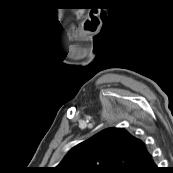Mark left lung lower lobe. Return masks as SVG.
Wrapping results in <instances>:
<instances>
[{
  "mask_svg": "<svg viewBox=\"0 0 173 173\" xmlns=\"http://www.w3.org/2000/svg\"><path fill=\"white\" fill-rule=\"evenodd\" d=\"M160 168H158L151 157L150 160L147 162V164L140 169L138 173H160Z\"/></svg>",
  "mask_w": 173,
  "mask_h": 173,
  "instance_id": "1",
  "label": "left lung lower lobe"
}]
</instances>
